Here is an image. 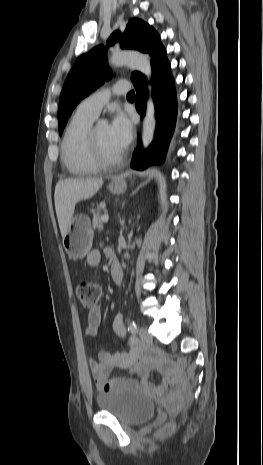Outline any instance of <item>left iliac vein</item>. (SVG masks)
Wrapping results in <instances>:
<instances>
[{"instance_id": "1", "label": "left iliac vein", "mask_w": 263, "mask_h": 465, "mask_svg": "<svg viewBox=\"0 0 263 465\" xmlns=\"http://www.w3.org/2000/svg\"><path fill=\"white\" fill-rule=\"evenodd\" d=\"M139 336L146 343L152 342V335L149 333L146 327H140Z\"/></svg>"}]
</instances>
